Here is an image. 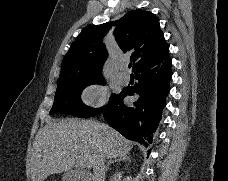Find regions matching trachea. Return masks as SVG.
Listing matches in <instances>:
<instances>
[{
  "label": "trachea",
  "instance_id": "obj_1",
  "mask_svg": "<svg viewBox=\"0 0 228 181\" xmlns=\"http://www.w3.org/2000/svg\"><path fill=\"white\" fill-rule=\"evenodd\" d=\"M128 66H129V68H131V67H132V63H129V65H128Z\"/></svg>",
  "mask_w": 228,
  "mask_h": 181
}]
</instances>
